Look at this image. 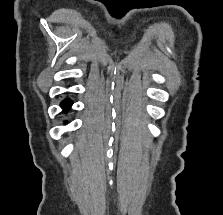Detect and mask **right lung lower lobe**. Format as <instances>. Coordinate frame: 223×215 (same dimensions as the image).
I'll return each mask as SVG.
<instances>
[{"mask_svg": "<svg viewBox=\"0 0 223 215\" xmlns=\"http://www.w3.org/2000/svg\"><path fill=\"white\" fill-rule=\"evenodd\" d=\"M72 105V102L70 100H64L62 103H61V106L62 108L64 109H68L70 108V106Z\"/></svg>", "mask_w": 223, "mask_h": 215, "instance_id": "obj_1", "label": "right lung lower lobe"}]
</instances>
